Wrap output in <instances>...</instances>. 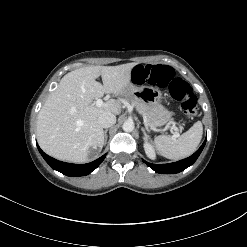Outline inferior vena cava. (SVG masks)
<instances>
[{
	"instance_id": "inferior-vena-cava-1",
	"label": "inferior vena cava",
	"mask_w": 247,
	"mask_h": 247,
	"mask_svg": "<svg viewBox=\"0 0 247 247\" xmlns=\"http://www.w3.org/2000/svg\"><path fill=\"white\" fill-rule=\"evenodd\" d=\"M98 122L102 128H108L116 123V116L110 112H106L99 116Z\"/></svg>"
}]
</instances>
